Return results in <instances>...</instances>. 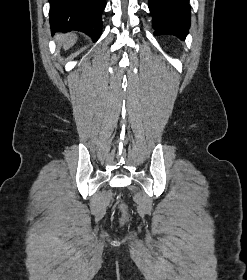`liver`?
<instances>
[{
  "label": "liver",
  "mask_w": 247,
  "mask_h": 280,
  "mask_svg": "<svg viewBox=\"0 0 247 280\" xmlns=\"http://www.w3.org/2000/svg\"><path fill=\"white\" fill-rule=\"evenodd\" d=\"M57 39H60L62 41L63 48L66 51L76 43L77 36L75 34H68L62 37H57Z\"/></svg>",
  "instance_id": "liver-1"
}]
</instances>
